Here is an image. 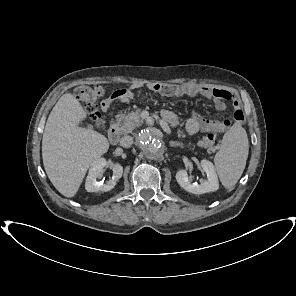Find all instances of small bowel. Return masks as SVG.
Segmentation results:
<instances>
[{
    "label": "small bowel",
    "mask_w": 296,
    "mask_h": 296,
    "mask_svg": "<svg viewBox=\"0 0 296 296\" xmlns=\"http://www.w3.org/2000/svg\"><path fill=\"white\" fill-rule=\"evenodd\" d=\"M142 87L140 84H133L129 89L118 90L114 92L110 97L102 102V108L107 110L110 106L116 102H128L134 97V91ZM148 88L152 91L158 92L168 97H180V96H196L200 95L205 98L211 99L214 106L218 110H225L227 108V102L231 103L233 107V115L231 118L224 119H207L199 114L191 116L185 124V130L188 135H195L205 131L223 132L228 129L232 123H241L244 120V114L241 109L240 103L234 93L218 88H211L204 85L195 83H183V84H160L150 83ZM163 118L172 126L178 124L177 116L170 110H164L162 112Z\"/></svg>",
    "instance_id": "obj_1"
}]
</instances>
